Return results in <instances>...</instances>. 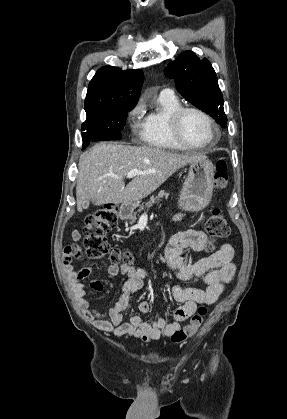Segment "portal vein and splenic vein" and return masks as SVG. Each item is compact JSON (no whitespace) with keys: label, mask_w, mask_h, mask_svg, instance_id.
<instances>
[{"label":"portal vein and splenic vein","mask_w":287,"mask_h":419,"mask_svg":"<svg viewBox=\"0 0 287 419\" xmlns=\"http://www.w3.org/2000/svg\"><path fill=\"white\" fill-rule=\"evenodd\" d=\"M148 173L149 171H139L137 169H132L127 173L126 178L131 179L137 175H146Z\"/></svg>","instance_id":"1"}]
</instances>
